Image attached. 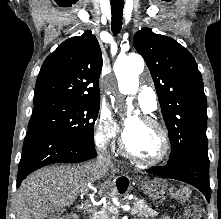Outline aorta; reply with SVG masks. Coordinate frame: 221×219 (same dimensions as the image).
<instances>
[{
	"label": "aorta",
	"instance_id": "1",
	"mask_svg": "<svg viewBox=\"0 0 221 219\" xmlns=\"http://www.w3.org/2000/svg\"><path fill=\"white\" fill-rule=\"evenodd\" d=\"M144 69V61L141 56L131 54L120 57L114 64V72L118 79L119 90L122 94H135L137 91V78ZM109 89H112L110 82ZM128 113L132 111V100L127 99Z\"/></svg>",
	"mask_w": 221,
	"mask_h": 219
}]
</instances>
